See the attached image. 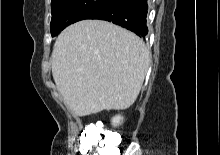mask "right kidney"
Segmentation results:
<instances>
[{"mask_svg":"<svg viewBox=\"0 0 220 155\" xmlns=\"http://www.w3.org/2000/svg\"><path fill=\"white\" fill-rule=\"evenodd\" d=\"M123 122V117L121 115H117L112 118V125L114 127L119 126Z\"/></svg>","mask_w":220,"mask_h":155,"instance_id":"ca27d5eb","label":"right kidney"}]
</instances>
